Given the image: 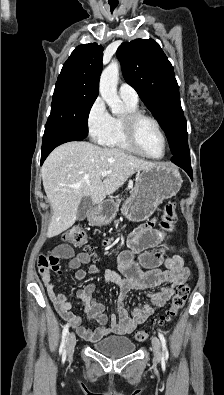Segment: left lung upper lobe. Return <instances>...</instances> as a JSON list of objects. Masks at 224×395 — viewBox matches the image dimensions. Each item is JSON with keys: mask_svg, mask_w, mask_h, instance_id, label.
<instances>
[{"mask_svg": "<svg viewBox=\"0 0 224 395\" xmlns=\"http://www.w3.org/2000/svg\"><path fill=\"white\" fill-rule=\"evenodd\" d=\"M117 57L124 79L160 122L175 155L188 144V135L171 63L153 39L125 42L119 46Z\"/></svg>", "mask_w": 224, "mask_h": 395, "instance_id": "5c2ea615", "label": "left lung upper lobe"}]
</instances>
